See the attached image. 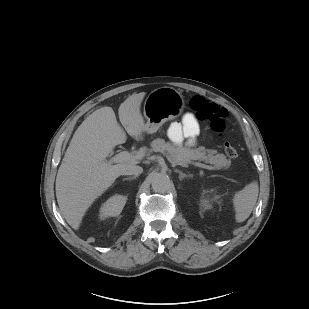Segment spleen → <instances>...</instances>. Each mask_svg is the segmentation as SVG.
Returning <instances> with one entry per match:
<instances>
[{
  "mask_svg": "<svg viewBox=\"0 0 309 309\" xmlns=\"http://www.w3.org/2000/svg\"><path fill=\"white\" fill-rule=\"evenodd\" d=\"M258 193V182L253 181L234 195L233 205L235 209V219L237 222H243L250 216L255 207Z\"/></svg>",
  "mask_w": 309,
  "mask_h": 309,
  "instance_id": "spleen-1",
  "label": "spleen"
}]
</instances>
